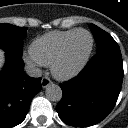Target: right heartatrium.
I'll return each instance as SVG.
<instances>
[{
  "label": "right heart atrium",
  "mask_w": 128,
  "mask_h": 128,
  "mask_svg": "<svg viewBox=\"0 0 128 128\" xmlns=\"http://www.w3.org/2000/svg\"><path fill=\"white\" fill-rule=\"evenodd\" d=\"M24 61L33 68H40L43 66L31 53L24 55Z\"/></svg>",
  "instance_id": "obj_1"
}]
</instances>
